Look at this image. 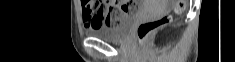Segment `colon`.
Masks as SVG:
<instances>
[{"label":"colon","instance_id":"obj_1","mask_svg":"<svg viewBox=\"0 0 235 62\" xmlns=\"http://www.w3.org/2000/svg\"><path fill=\"white\" fill-rule=\"evenodd\" d=\"M134 5V11L138 9V6L136 4ZM185 8V2L183 0H178L175 3L174 11L176 13H181ZM124 15V11L122 7L114 6L110 9L109 17H108V23L109 26L117 25L121 19V17ZM170 16H163L158 19L148 20L143 23H141L137 29V38L140 43H144L148 37L157 29L160 27L166 25L170 21Z\"/></svg>","mask_w":235,"mask_h":62}]
</instances>
